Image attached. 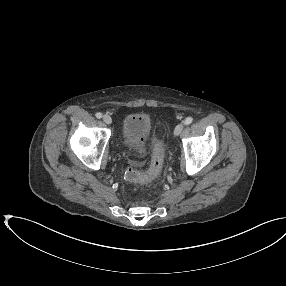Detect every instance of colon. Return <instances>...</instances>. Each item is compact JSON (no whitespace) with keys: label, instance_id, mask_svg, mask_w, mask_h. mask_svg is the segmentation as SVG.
I'll list each match as a JSON object with an SVG mask.
<instances>
[{"label":"colon","instance_id":"5ec220e1","mask_svg":"<svg viewBox=\"0 0 286 286\" xmlns=\"http://www.w3.org/2000/svg\"><path fill=\"white\" fill-rule=\"evenodd\" d=\"M164 162V145L162 141L155 142L150 166L147 171L140 172L133 165L126 169V179L131 182H146L154 179L160 172Z\"/></svg>","mask_w":286,"mask_h":286}]
</instances>
